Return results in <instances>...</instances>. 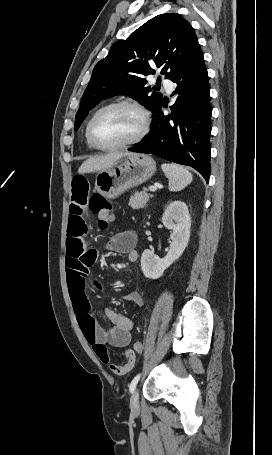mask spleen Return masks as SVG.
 <instances>
[{
    "label": "spleen",
    "instance_id": "spleen-1",
    "mask_svg": "<svg viewBox=\"0 0 272 455\" xmlns=\"http://www.w3.org/2000/svg\"><path fill=\"white\" fill-rule=\"evenodd\" d=\"M162 170L169 179V190L176 192L184 189L192 180V174L183 166L164 163Z\"/></svg>",
    "mask_w": 272,
    "mask_h": 455
}]
</instances>
